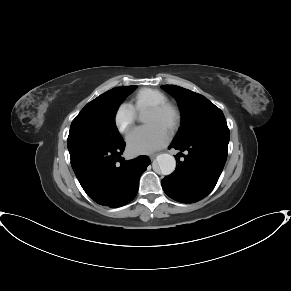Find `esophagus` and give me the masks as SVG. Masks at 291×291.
<instances>
[{"label": "esophagus", "mask_w": 291, "mask_h": 291, "mask_svg": "<svg viewBox=\"0 0 291 291\" xmlns=\"http://www.w3.org/2000/svg\"><path fill=\"white\" fill-rule=\"evenodd\" d=\"M158 155V153H153L150 155L151 160H153L154 158H156V156Z\"/></svg>", "instance_id": "1"}]
</instances>
